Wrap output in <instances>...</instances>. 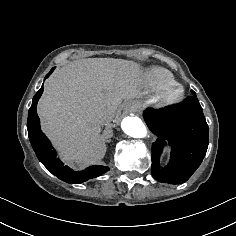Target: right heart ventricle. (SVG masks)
Wrapping results in <instances>:
<instances>
[{
	"label": "right heart ventricle",
	"instance_id": "obj_1",
	"mask_svg": "<svg viewBox=\"0 0 236 236\" xmlns=\"http://www.w3.org/2000/svg\"><path fill=\"white\" fill-rule=\"evenodd\" d=\"M148 76V89L156 95H161L166 89L177 84L175 77L163 69H152Z\"/></svg>",
	"mask_w": 236,
	"mask_h": 236
}]
</instances>
